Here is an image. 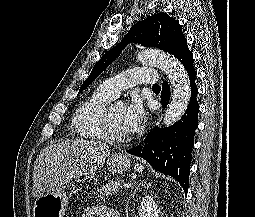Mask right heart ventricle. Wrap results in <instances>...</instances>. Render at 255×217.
I'll return each instance as SVG.
<instances>
[{"mask_svg": "<svg viewBox=\"0 0 255 217\" xmlns=\"http://www.w3.org/2000/svg\"><path fill=\"white\" fill-rule=\"evenodd\" d=\"M113 98L100 85L78 106L71 125L79 137L95 141L106 140L102 130L101 116L103 110Z\"/></svg>", "mask_w": 255, "mask_h": 217, "instance_id": "e07e8e85", "label": "right heart ventricle"}]
</instances>
